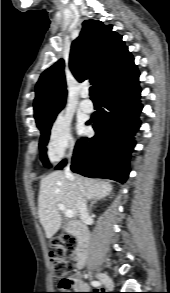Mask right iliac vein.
I'll use <instances>...</instances> for the list:
<instances>
[{
  "label": "right iliac vein",
  "mask_w": 170,
  "mask_h": 293,
  "mask_svg": "<svg viewBox=\"0 0 170 293\" xmlns=\"http://www.w3.org/2000/svg\"><path fill=\"white\" fill-rule=\"evenodd\" d=\"M98 278L99 280L107 287V288H112L113 287V282L111 278L104 274V273H98Z\"/></svg>",
  "instance_id": "obj_1"
}]
</instances>
